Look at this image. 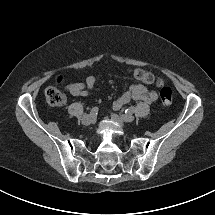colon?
I'll use <instances>...</instances> for the list:
<instances>
[{"mask_svg":"<svg viewBox=\"0 0 215 215\" xmlns=\"http://www.w3.org/2000/svg\"><path fill=\"white\" fill-rule=\"evenodd\" d=\"M132 75L135 79L146 83V84H161L159 79H156L155 76L146 70L143 69H135L132 72ZM45 99L46 102L50 106H60L65 102L64 93L56 87H49L45 91ZM160 100L163 105L169 106L172 104L173 95L172 91L169 87H162L160 90Z\"/></svg>","mask_w":215,"mask_h":215,"instance_id":"obj_1","label":"colon"}]
</instances>
